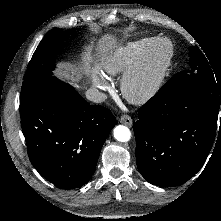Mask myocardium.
I'll return each instance as SVG.
<instances>
[{
    "instance_id": "f54148a6",
    "label": "myocardium",
    "mask_w": 221,
    "mask_h": 221,
    "mask_svg": "<svg viewBox=\"0 0 221 221\" xmlns=\"http://www.w3.org/2000/svg\"><path fill=\"white\" fill-rule=\"evenodd\" d=\"M173 53L169 40L157 38L142 61L125 75L121 85L124 97L135 104L151 99L164 82Z\"/></svg>"
}]
</instances>
